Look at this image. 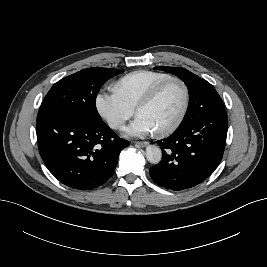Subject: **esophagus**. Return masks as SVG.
Returning <instances> with one entry per match:
<instances>
[{
    "label": "esophagus",
    "instance_id": "1",
    "mask_svg": "<svg viewBox=\"0 0 267 267\" xmlns=\"http://www.w3.org/2000/svg\"><path fill=\"white\" fill-rule=\"evenodd\" d=\"M135 145L138 147H145L148 145V142H135Z\"/></svg>",
    "mask_w": 267,
    "mask_h": 267
}]
</instances>
